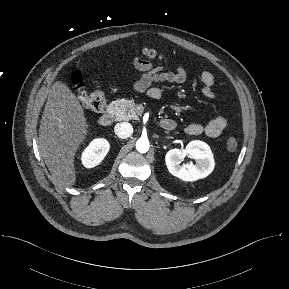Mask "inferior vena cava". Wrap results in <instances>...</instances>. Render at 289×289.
Wrapping results in <instances>:
<instances>
[{
	"mask_svg": "<svg viewBox=\"0 0 289 289\" xmlns=\"http://www.w3.org/2000/svg\"><path fill=\"white\" fill-rule=\"evenodd\" d=\"M114 131L119 138L125 139L131 136L133 133V127L130 123L122 122L115 125Z\"/></svg>",
	"mask_w": 289,
	"mask_h": 289,
	"instance_id": "602c4592",
	"label": "inferior vena cava"
}]
</instances>
